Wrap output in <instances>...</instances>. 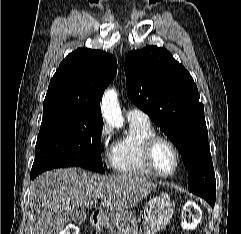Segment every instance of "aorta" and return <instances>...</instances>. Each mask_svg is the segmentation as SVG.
<instances>
[{
  "mask_svg": "<svg viewBox=\"0 0 241 234\" xmlns=\"http://www.w3.org/2000/svg\"><path fill=\"white\" fill-rule=\"evenodd\" d=\"M102 116L110 125L116 128L123 126L122 112L118 103L117 93L114 89H108L101 103Z\"/></svg>",
  "mask_w": 241,
  "mask_h": 234,
  "instance_id": "aorta-1",
  "label": "aorta"
}]
</instances>
